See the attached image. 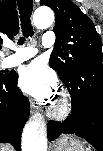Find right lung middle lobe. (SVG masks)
Instances as JSON below:
<instances>
[{"instance_id":"dd1d6c3e","label":"right lung middle lobe","mask_w":103,"mask_h":151,"mask_svg":"<svg viewBox=\"0 0 103 151\" xmlns=\"http://www.w3.org/2000/svg\"><path fill=\"white\" fill-rule=\"evenodd\" d=\"M11 76H13V74H3V71L1 72L0 71V79H8V78H10Z\"/></svg>"}]
</instances>
